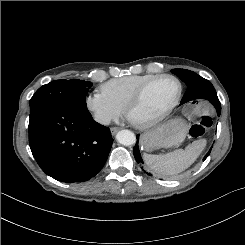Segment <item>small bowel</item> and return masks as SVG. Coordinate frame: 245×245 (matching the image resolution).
<instances>
[{
	"label": "small bowel",
	"instance_id": "1",
	"mask_svg": "<svg viewBox=\"0 0 245 245\" xmlns=\"http://www.w3.org/2000/svg\"><path fill=\"white\" fill-rule=\"evenodd\" d=\"M210 104L206 100H195L186 104L185 110L188 115L194 116L198 114H205L209 111Z\"/></svg>",
	"mask_w": 245,
	"mask_h": 245
}]
</instances>
